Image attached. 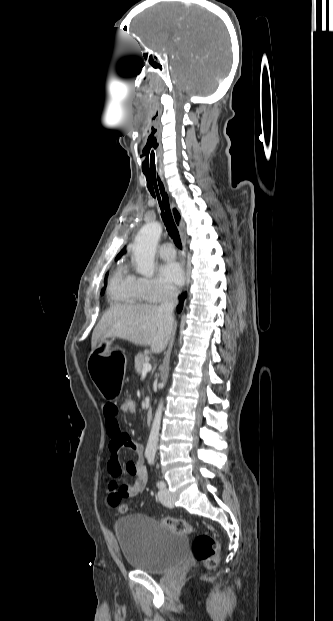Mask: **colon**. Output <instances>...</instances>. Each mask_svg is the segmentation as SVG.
I'll use <instances>...</instances> for the list:
<instances>
[{"instance_id":"5ec220e1","label":"colon","mask_w":333,"mask_h":621,"mask_svg":"<svg viewBox=\"0 0 333 621\" xmlns=\"http://www.w3.org/2000/svg\"><path fill=\"white\" fill-rule=\"evenodd\" d=\"M120 402L122 412L126 414H135L137 412V401L132 394L121 397ZM117 508L121 513H125L128 510L127 505L124 503H120ZM162 522L173 530L183 534H191L193 532L192 525L184 519L167 517L164 518ZM219 552L220 544L213 537L206 534H199L195 537L193 542V554L206 568L213 569L218 565Z\"/></svg>"}]
</instances>
